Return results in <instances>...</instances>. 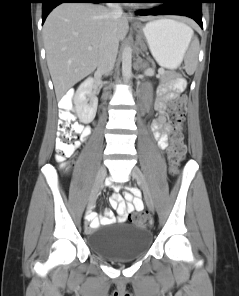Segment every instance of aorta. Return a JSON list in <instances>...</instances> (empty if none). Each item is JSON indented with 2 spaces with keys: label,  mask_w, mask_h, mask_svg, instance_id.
<instances>
[{
  "label": "aorta",
  "mask_w": 239,
  "mask_h": 296,
  "mask_svg": "<svg viewBox=\"0 0 239 296\" xmlns=\"http://www.w3.org/2000/svg\"><path fill=\"white\" fill-rule=\"evenodd\" d=\"M132 75V49L129 45L124 47L122 53V76L128 81Z\"/></svg>",
  "instance_id": "1"
}]
</instances>
